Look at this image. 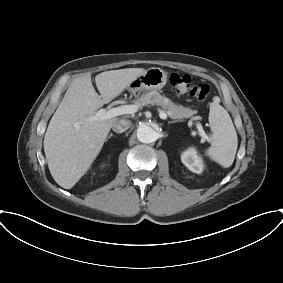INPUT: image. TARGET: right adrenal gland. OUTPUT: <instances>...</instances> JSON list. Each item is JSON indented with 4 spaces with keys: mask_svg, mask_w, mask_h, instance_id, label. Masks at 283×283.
Masks as SVG:
<instances>
[{
    "mask_svg": "<svg viewBox=\"0 0 283 283\" xmlns=\"http://www.w3.org/2000/svg\"><path fill=\"white\" fill-rule=\"evenodd\" d=\"M112 136H114L112 133L107 137V139H106V141L108 140V139H110Z\"/></svg>",
    "mask_w": 283,
    "mask_h": 283,
    "instance_id": "1",
    "label": "right adrenal gland"
}]
</instances>
